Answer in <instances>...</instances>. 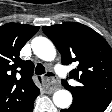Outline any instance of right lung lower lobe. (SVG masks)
Returning a JSON list of instances; mask_svg holds the SVG:
<instances>
[{
	"instance_id": "1",
	"label": "right lung lower lobe",
	"mask_w": 112,
	"mask_h": 112,
	"mask_svg": "<svg viewBox=\"0 0 112 112\" xmlns=\"http://www.w3.org/2000/svg\"><path fill=\"white\" fill-rule=\"evenodd\" d=\"M33 111V104L30 105L29 109L27 110V112H32Z\"/></svg>"
}]
</instances>
